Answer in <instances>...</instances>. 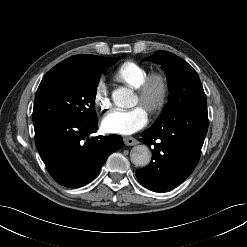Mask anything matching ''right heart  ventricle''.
Instances as JSON below:
<instances>
[{"instance_id":"right-heart-ventricle-1","label":"right heart ventricle","mask_w":247,"mask_h":247,"mask_svg":"<svg viewBox=\"0 0 247 247\" xmlns=\"http://www.w3.org/2000/svg\"><path fill=\"white\" fill-rule=\"evenodd\" d=\"M148 69L135 62L126 61L122 63L114 72L116 80L136 89L148 75Z\"/></svg>"}]
</instances>
